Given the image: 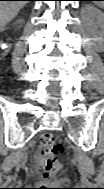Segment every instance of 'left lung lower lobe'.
<instances>
[{
	"label": "left lung lower lobe",
	"mask_w": 104,
	"mask_h": 189,
	"mask_svg": "<svg viewBox=\"0 0 104 189\" xmlns=\"http://www.w3.org/2000/svg\"><path fill=\"white\" fill-rule=\"evenodd\" d=\"M79 1H96V0H79Z\"/></svg>",
	"instance_id": "1"
}]
</instances>
